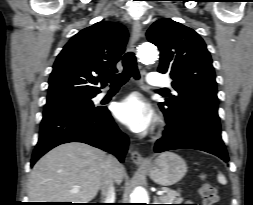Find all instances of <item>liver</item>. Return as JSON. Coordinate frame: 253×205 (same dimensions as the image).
Segmentation results:
<instances>
[{
    "instance_id": "6515ba94",
    "label": "liver",
    "mask_w": 253,
    "mask_h": 205,
    "mask_svg": "<svg viewBox=\"0 0 253 205\" xmlns=\"http://www.w3.org/2000/svg\"><path fill=\"white\" fill-rule=\"evenodd\" d=\"M108 156L83 143H66L44 155L31 170L28 196L32 202L89 203L102 185ZM113 178L120 184L124 168L113 159ZM78 187V191H73Z\"/></svg>"
}]
</instances>
